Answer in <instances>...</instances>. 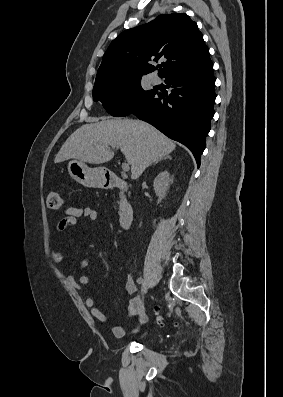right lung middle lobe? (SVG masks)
I'll return each instance as SVG.
<instances>
[{
	"mask_svg": "<svg viewBox=\"0 0 283 397\" xmlns=\"http://www.w3.org/2000/svg\"><path fill=\"white\" fill-rule=\"evenodd\" d=\"M141 78L96 81L92 92L93 99L102 102L103 107L112 116H127L156 93L155 90H143Z\"/></svg>",
	"mask_w": 283,
	"mask_h": 397,
	"instance_id": "1",
	"label": "right lung middle lobe"
}]
</instances>
